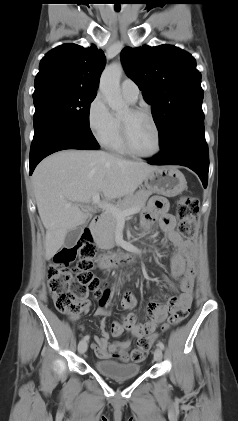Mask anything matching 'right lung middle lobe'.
Instances as JSON below:
<instances>
[{
  "label": "right lung middle lobe",
  "instance_id": "dd1d6c3e",
  "mask_svg": "<svg viewBox=\"0 0 238 421\" xmlns=\"http://www.w3.org/2000/svg\"><path fill=\"white\" fill-rule=\"evenodd\" d=\"M96 94L60 85L36 87L33 93L34 128L44 118L52 117L68 124L88 138L95 139L89 127V109Z\"/></svg>",
  "mask_w": 238,
  "mask_h": 421
}]
</instances>
